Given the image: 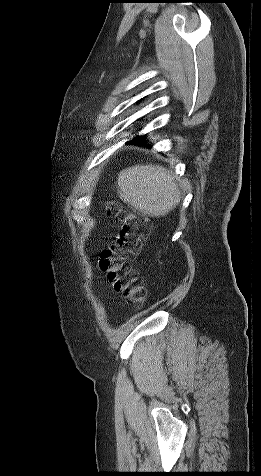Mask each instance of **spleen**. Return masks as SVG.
Returning a JSON list of instances; mask_svg holds the SVG:
<instances>
[{
  "mask_svg": "<svg viewBox=\"0 0 261 476\" xmlns=\"http://www.w3.org/2000/svg\"><path fill=\"white\" fill-rule=\"evenodd\" d=\"M120 199L144 215L162 217L179 203L181 191L171 172L159 165H135L118 174Z\"/></svg>",
  "mask_w": 261,
  "mask_h": 476,
  "instance_id": "3e777b00",
  "label": "spleen"
}]
</instances>
